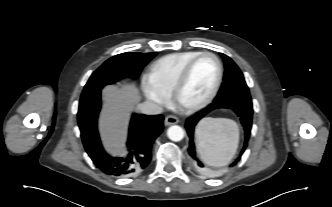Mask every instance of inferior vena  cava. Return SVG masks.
<instances>
[{"label": "inferior vena cava", "instance_id": "1", "mask_svg": "<svg viewBox=\"0 0 332 207\" xmlns=\"http://www.w3.org/2000/svg\"><path fill=\"white\" fill-rule=\"evenodd\" d=\"M139 112L146 114V115H156L161 114L163 112V108L151 101H146L137 106Z\"/></svg>", "mask_w": 332, "mask_h": 207}]
</instances>
